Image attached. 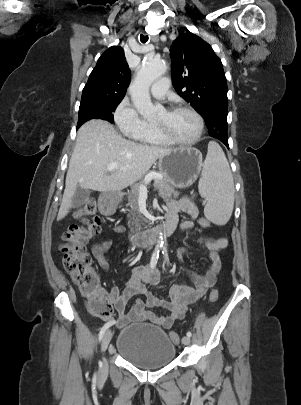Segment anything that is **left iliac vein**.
<instances>
[{
	"mask_svg": "<svg viewBox=\"0 0 301 405\" xmlns=\"http://www.w3.org/2000/svg\"><path fill=\"white\" fill-rule=\"evenodd\" d=\"M182 343H183L184 345H189V344H190V337L184 336V337L182 338Z\"/></svg>",
	"mask_w": 301,
	"mask_h": 405,
	"instance_id": "1",
	"label": "left iliac vein"
}]
</instances>
